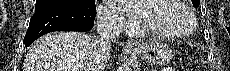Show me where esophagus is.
Segmentation results:
<instances>
[{"mask_svg":"<svg viewBox=\"0 0 230 71\" xmlns=\"http://www.w3.org/2000/svg\"><path fill=\"white\" fill-rule=\"evenodd\" d=\"M126 46L127 47H139L140 44L137 41H135L134 39H127L126 40Z\"/></svg>","mask_w":230,"mask_h":71,"instance_id":"obj_1","label":"esophagus"}]
</instances>
